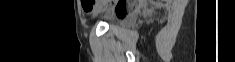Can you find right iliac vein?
I'll list each match as a JSON object with an SVG mask.
<instances>
[{"label":"right iliac vein","instance_id":"right-iliac-vein-1","mask_svg":"<svg viewBox=\"0 0 235 62\" xmlns=\"http://www.w3.org/2000/svg\"><path fill=\"white\" fill-rule=\"evenodd\" d=\"M106 5H107V2H106V1L102 2V3L96 8V10H95V12H94V17L97 16L98 13H99L104 7H106Z\"/></svg>","mask_w":235,"mask_h":62}]
</instances>
